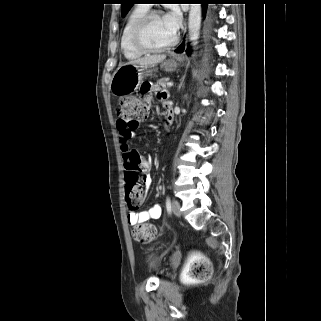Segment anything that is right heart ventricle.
<instances>
[{
    "label": "right heart ventricle",
    "instance_id": "right-heart-ventricle-1",
    "mask_svg": "<svg viewBox=\"0 0 321 321\" xmlns=\"http://www.w3.org/2000/svg\"><path fill=\"white\" fill-rule=\"evenodd\" d=\"M148 11V7L144 5L136 6L128 15L125 20L121 36H120V48L123 56L128 60H134L143 55L138 51L131 42V33L135 23L138 19Z\"/></svg>",
    "mask_w": 321,
    "mask_h": 321
}]
</instances>
